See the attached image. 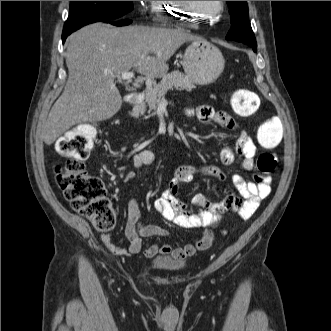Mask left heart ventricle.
<instances>
[{"instance_id":"obj_1","label":"left heart ventricle","mask_w":331,"mask_h":331,"mask_svg":"<svg viewBox=\"0 0 331 331\" xmlns=\"http://www.w3.org/2000/svg\"><path fill=\"white\" fill-rule=\"evenodd\" d=\"M195 10L203 14H214L218 4L217 1H191Z\"/></svg>"}]
</instances>
